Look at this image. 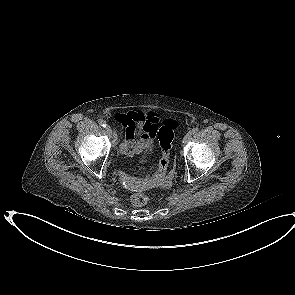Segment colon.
Returning <instances> with one entry per match:
<instances>
[{
  "label": "colon",
  "mask_w": 295,
  "mask_h": 295,
  "mask_svg": "<svg viewBox=\"0 0 295 295\" xmlns=\"http://www.w3.org/2000/svg\"><path fill=\"white\" fill-rule=\"evenodd\" d=\"M177 128V124L173 120H166L162 126L154 125V134L158 137L160 148H161V159L158 164L156 175L151 182L162 179L169 167L170 149L171 143L174 138V133ZM131 201L135 206H144L149 201V196L143 192H137L132 195Z\"/></svg>",
  "instance_id": "1"
}]
</instances>
